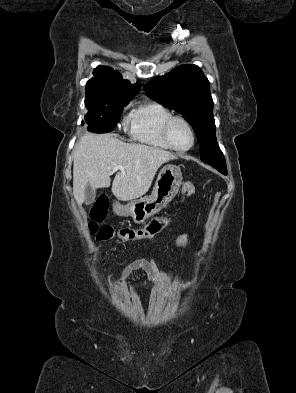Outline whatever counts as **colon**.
I'll return each instance as SVG.
<instances>
[{"label": "colon", "mask_w": 296, "mask_h": 393, "mask_svg": "<svg viewBox=\"0 0 296 393\" xmlns=\"http://www.w3.org/2000/svg\"><path fill=\"white\" fill-rule=\"evenodd\" d=\"M182 195L191 197L195 195V186L192 182L186 181L182 185ZM108 203L105 199L98 200L90 213L89 230L97 240L107 241L118 239L122 242H132L149 239L160 233L170 222V218H155L147 225L139 228H114L112 226H101L107 214Z\"/></svg>", "instance_id": "colon-1"}]
</instances>
